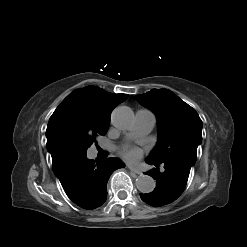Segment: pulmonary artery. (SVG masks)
<instances>
[{"label": "pulmonary artery", "instance_id": "pulmonary-artery-1", "mask_svg": "<svg viewBox=\"0 0 247 247\" xmlns=\"http://www.w3.org/2000/svg\"><path fill=\"white\" fill-rule=\"evenodd\" d=\"M156 117L147 109H139L135 114L134 124L128 134L129 137H141L148 134L154 127Z\"/></svg>", "mask_w": 247, "mask_h": 247}]
</instances>
